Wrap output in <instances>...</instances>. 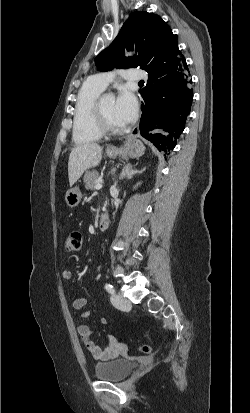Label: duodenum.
I'll return each mask as SVG.
<instances>
[{
  "label": "duodenum",
  "mask_w": 250,
  "mask_h": 413,
  "mask_svg": "<svg viewBox=\"0 0 250 413\" xmlns=\"http://www.w3.org/2000/svg\"><path fill=\"white\" fill-rule=\"evenodd\" d=\"M110 224V218L108 214H103L101 215L99 221H98V229L99 230H105Z\"/></svg>",
  "instance_id": "1"
}]
</instances>
